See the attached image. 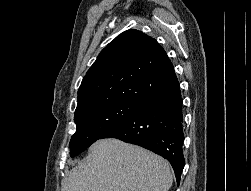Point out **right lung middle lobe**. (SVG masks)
<instances>
[{"instance_id": "right-lung-middle-lobe-1", "label": "right lung middle lobe", "mask_w": 251, "mask_h": 191, "mask_svg": "<svg viewBox=\"0 0 251 191\" xmlns=\"http://www.w3.org/2000/svg\"><path fill=\"white\" fill-rule=\"evenodd\" d=\"M140 104L113 101L76 111V132L70 141V156L75 157L108 131L132 115Z\"/></svg>"}]
</instances>
